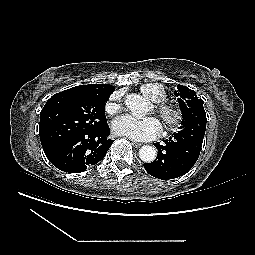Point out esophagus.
I'll list each match as a JSON object with an SVG mask.
<instances>
[{
  "mask_svg": "<svg viewBox=\"0 0 255 255\" xmlns=\"http://www.w3.org/2000/svg\"><path fill=\"white\" fill-rule=\"evenodd\" d=\"M132 144H133L135 147H140V146H142V143H140V142L132 141Z\"/></svg>",
  "mask_w": 255,
  "mask_h": 255,
  "instance_id": "34e87169",
  "label": "esophagus"
}]
</instances>
